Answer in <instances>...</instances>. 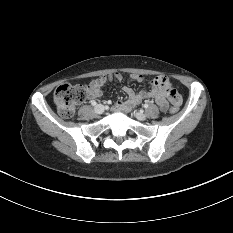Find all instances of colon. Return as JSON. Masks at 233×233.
<instances>
[{"instance_id": "1", "label": "colon", "mask_w": 233, "mask_h": 233, "mask_svg": "<svg viewBox=\"0 0 233 233\" xmlns=\"http://www.w3.org/2000/svg\"><path fill=\"white\" fill-rule=\"evenodd\" d=\"M177 93V98L173 100L170 108L171 113L179 110V94L175 89H170ZM89 94V87L86 85L62 84L58 86L54 93V101L57 105L59 114L64 118L73 116L78 105L85 101Z\"/></svg>"}]
</instances>
